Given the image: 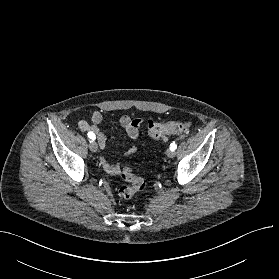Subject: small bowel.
<instances>
[{
  "instance_id": "1",
  "label": "small bowel",
  "mask_w": 279,
  "mask_h": 279,
  "mask_svg": "<svg viewBox=\"0 0 279 279\" xmlns=\"http://www.w3.org/2000/svg\"><path fill=\"white\" fill-rule=\"evenodd\" d=\"M103 121V115L99 111H94L91 116V122L82 120L78 123V127L81 131L92 132L97 138V142L102 150L106 149L108 146V138L105 133L100 129V124ZM119 123L125 129L127 136L136 140L139 136L140 129L144 123L142 118H132L129 115H123L119 119ZM136 152V147L131 146L124 151L125 156H130ZM100 163L103 169L111 175L119 174L120 167L118 164H113L108 162L104 157H100Z\"/></svg>"
}]
</instances>
